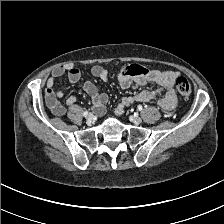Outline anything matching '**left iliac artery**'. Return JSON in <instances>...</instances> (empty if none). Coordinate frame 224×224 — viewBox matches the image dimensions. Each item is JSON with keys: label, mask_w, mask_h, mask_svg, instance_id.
Here are the masks:
<instances>
[{"label": "left iliac artery", "mask_w": 224, "mask_h": 224, "mask_svg": "<svg viewBox=\"0 0 224 224\" xmlns=\"http://www.w3.org/2000/svg\"><path fill=\"white\" fill-rule=\"evenodd\" d=\"M143 107L141 105H138V110L141 111Z\"/></svg>", "instance_id": "1"}]
</instances>
